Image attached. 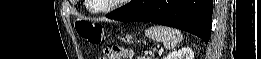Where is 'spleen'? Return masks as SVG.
<instances>
[{
  "mask_svg": "<svg viewBox=\"0 0 261 59\" xmlns=\"http://www.w3.org/2000/svg\"><path fill=\"white\" fill-rule=\"evenodd\" d=\"M145 35L157 42H162L166 49L174 48L183 40L179 30L166 26H151L145 31Z\"/></svg>",
  "mask_w": 261,
  "mask_h": 59,
  "instance_id": "obj_1",
  "label": "spleen"
}]
</instances>
